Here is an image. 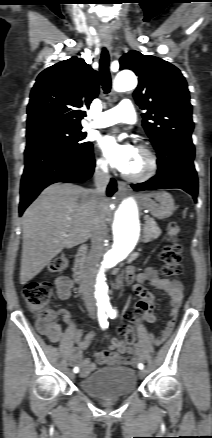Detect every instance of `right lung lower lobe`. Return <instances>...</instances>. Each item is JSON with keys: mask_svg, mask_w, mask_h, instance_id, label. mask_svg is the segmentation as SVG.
<instances>
[{"mask_svg": "<svg viewBox=\"0 0 212 438\" xmlns=\"http://www.w3.org/2000/svg\"><path fill=\"white\" fill-rule=\"evenodd\" d=\"M93 145L67 149L46 144L27 145L25 169L21 179L19 215L48 185L56 182L78 183L88 180L94 172ZM111 179L107 195L115 191Z\"/></svg>", "mask_w": 212, "mask_h": 438, "instance_id": "right-lung-lower-lobe-1", "label": "right lung lower lobe"}]
</instances>
